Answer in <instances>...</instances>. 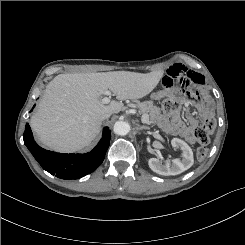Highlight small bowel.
Masks as SVG:
<instances>
[{"label":"small bowel","instance_id":"small-bowel-1","mask_svg":"<svg viewBox=\"0 0 245 245\" xmlns=\"http://www.w3.org/2000/svg\"><path fill=\"white\" fill-rule=\"evenodd\" d=\"M163 85L165 88L171 89L173 94H176L174 87L179 86L180 90L186 93V99L199 102L202 99V93L198 90H193V87L204 89L206 83L204 76L200 73L189 70L183 65L176 64L166 71ZM201 112L203 116H209L212 110L209 106H204L201 108ZM198 124V119L191 114H187V124H185L181 120L178 111H174L169 115H163L159 119V125L165 132L181 136L189 143H194L195 141L194 131Z\"/></svg>","mask_w":245,"mask_h":245}]
</instances>
